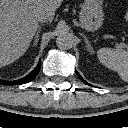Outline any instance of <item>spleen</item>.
<instances>
[{
	"mask_svg": "<svg viewBox=\"0 0 128 128\" xmlns=\"http://www.w3.org/2000/svg\"><path fill=\"white\" fill-rule=\"evenodd\" d=\"M97 57L104 66L116 71L123 81L128 82V50L101 48Z\"/></svg>",
	"mask_w": 128,
	"mask_h": 128,
	"instance_id": "3e777b00",
	"label": "spleen"
}]
</instances>
